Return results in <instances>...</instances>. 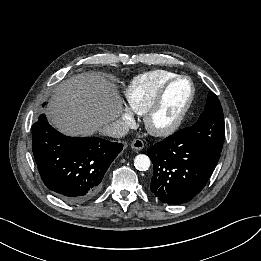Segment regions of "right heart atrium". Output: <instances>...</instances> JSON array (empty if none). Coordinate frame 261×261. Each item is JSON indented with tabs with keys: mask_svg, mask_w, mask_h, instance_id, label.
Masks as SVG:
<instances>
[{
	"mask_svg": "<svg viewBox=\"0 0 261 261\" xmlns=\"http://www.w3.org/2000/svg\"><path fill=\"white\" fill-rule=\"evenodd\" d=\"M135 122L134 113L131 111L130 108L124 107L121 112V117L119 119V124L122 129H127L133 125Z\"/></svg>",
	"mask_w": 261,
	"mask_h": 261,
	"instance_id": "d8ad5b80",
	"label": "right heart atrium"
}]
</instances>
